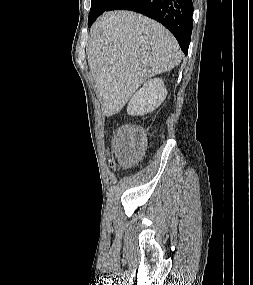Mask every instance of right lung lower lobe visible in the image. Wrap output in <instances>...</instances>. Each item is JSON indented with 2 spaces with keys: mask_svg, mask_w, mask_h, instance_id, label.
I'll use <instances>...</instances> for the list:
<instances>
[{
  "mask_svg": "<svg viewBox=\"0 0 253 285\" xmlns=\"http://www.w3.org/2000/svg\"><path fill=\"white\" fill-rule=\"evenodd\" d=\"M109 10H132L162 23L187 55L193 26L192 0H113L105 11Z\"/></svg>",
  "mask_w": 253,
  "mask_h": 285,
  "instance_id": "right-lung-lower-lobe-1",
  "label": "right lung lower lobe"
}]
</instances>
